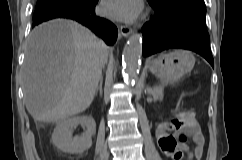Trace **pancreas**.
Masks as SVG:
<instances>
[{
	"label": "pancreas",
	"mask_w": 242,
	"mask_h": 160,
	"mask_svg": "<svg viewBox=\"0 0 242 160\" xmlns=\"http://www.w3.org/2000/svg\"><path fill=\"white\" fill-rule=\"evenodd\" d=\"M151 94L154 96V98L158 99V98H162L163 97V93H162V89L160 87H155L151 90Z\"/></svg>",
	"instance_id": "cf45deb5"
}]
</instances>
